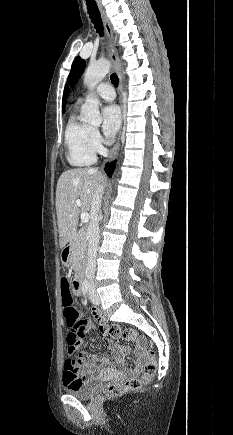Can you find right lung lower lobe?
Returning <instances> with one entry per match:
<instances>
[{"label": "right lung lower lobe", "instance_id": "obj_1", "mask_svg": "<svg viewBox=\"0 0 233 435\" xmlns=\"http://www.w3.org/2000/svg\"><path fill=\"white\" fill-rule=\"evenodd\" d=\"M115 165H116V162H115V161L106 164V166H105V172L107 173V175H108L109 177L112 176L113 171H114V169H115Z\"/></svg>", "mask_w": 233, "mask_h": 435}]
</instances>
